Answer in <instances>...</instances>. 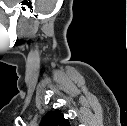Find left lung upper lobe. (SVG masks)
I'll return each instance as SVG.
<instances>
[{
  "label": "left lung upper lobe",
  "mask_w": 127,
  "mask_h": 126,
  "mask_svg": "<svg viewBox=\"0 0 127 126\" xmlns=\"http://www.w3.org/2000/svg\"><path fill=\"white\" fill-rule=\"evenodd\" d=\"M40 126H70L60 110L48 112L42 119Z\"/></svg>",
  "instance_id": "5c2ea615"
}]
</instances>
